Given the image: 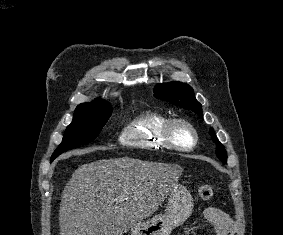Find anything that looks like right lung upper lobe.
Masks as SVG:
<instances>
[{
    "instance_id": "obj_1",
    "label": "right lung upper lobe",
    "mask_w": 283,
    "mask_h": 235,
    "mask_svg": "<svg viewBox=\"0 0 283 235\" xmlns=\"http://www.w3.org/2000/svg\"><path fill=\"white\" fill-rule=\"evenodd\" d=\"M100 105H107L105 102L96 99L93 103H83L79 106H100Z\"/></svg>"
}]
</instances>
